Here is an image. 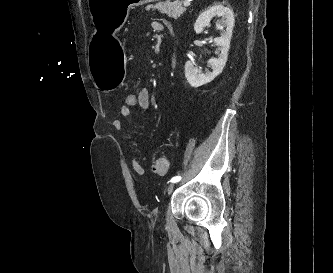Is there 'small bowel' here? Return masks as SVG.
I'll return each instance as SVG.
<instances>
[{
    "label": "small bowel",
    "mask_w": 333,
    "mask_h": 273,
    "mask_svg": "<svg viewBox=\"0 0 333 273\" xmlns=\"http://www.w3.org/2000/svg\"><path fill=\"white\" fill-rule=\"evenodd\" d=\"M153 27L157 30V31H163L166 29V24L161 22V21H155L153 22ZM133 94V93H130ZM138 100L136 101L138 103V106L147 111L150 109V92L147 88H142L139 92H138ZM118 118L115 119L112 123L113 128L117 131H120L123 126V118H133L136 119L137 115H135L131 109H123L122 107H120L119 111H118ZM130 166L132 168V170L139 176H142L144 174V168L142 166V164L135 158V157H131L130 158Z\"/></svg>",
    "instance_id": "1"
}]
</instances>
